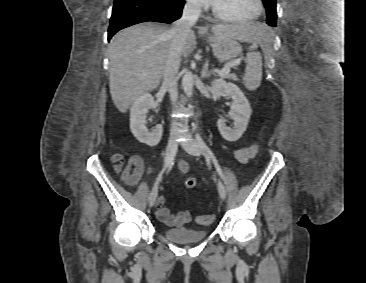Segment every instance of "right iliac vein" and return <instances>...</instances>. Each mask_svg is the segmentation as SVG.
Here are the masks:
<instances>
[{
	"instance_id": "1",
	"label": "right iliac vein",
	"mask_w": 366,
	"mask_h": 283,
	"mask_svg": "<svg viewBox=\"0 0 366 283\" xmlns=\"http://www.w3.org/2000/svg\"><path fill=\"white\" fill-rule=\"evenodd\" d=\"M176 150H177V141H176V138L172 136V137H170L167 147H166L165 158H164L165 165H167L168 162L170 161V159L175 155ZM157 195H158V189H157V184H156L149 195V206L150 207L154 206Z\"/></svg>"
}]
</instances>
